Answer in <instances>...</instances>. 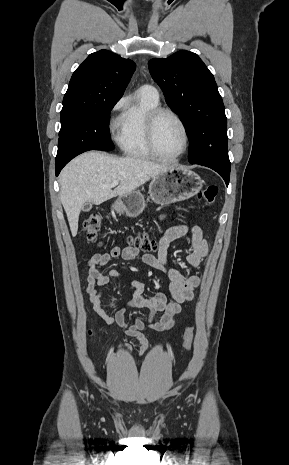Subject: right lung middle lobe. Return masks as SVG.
Returning <instances> with one entry per match:
<instances>
[{"label":"right lung middle lobe","mask_w":289,"mask_h":465,"mask_svg":"<svg viewBox=\"0 0 289 465\" xmlns=\"http://www.w3.org/2000/svg\"><path fill=\"white\" fill-rule=\"evenodd\" d=\"M118 100L97 103L86 109L61 112L55 162L71 160L88 150H112L108 117Z\"/></svg>","instance_id":"right-lung-middle-lobe-1"}]
</instances>
